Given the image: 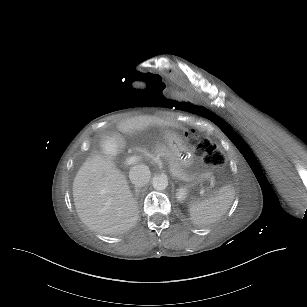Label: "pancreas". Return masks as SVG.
I'll return each mask as SVG.
<instances>
[{"instance_id": "cf45deb5", "label": "pancreas", "mask_w": 307, "mask_h": 307, "mask_svg": "<svg viewBox=\"0 0 307 307\" xmlns=\"http://www.w3.org/2000/svg\"><path fill=\"white\" fill-rule=\"evenodd\" d=\"M161 153L167 155V160L170 163L171 172L175 174L177 178L185 177L186 179H189L191 177V174L189 172H186L184 168H180V162L178 161V157L174 153H172L170 149H167L166 151L162 149ZM195 178L197 180H200L202 178V175L200 173H197L195 175Z\"/></svg>"}]
</instances>
